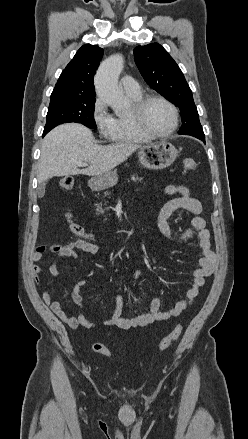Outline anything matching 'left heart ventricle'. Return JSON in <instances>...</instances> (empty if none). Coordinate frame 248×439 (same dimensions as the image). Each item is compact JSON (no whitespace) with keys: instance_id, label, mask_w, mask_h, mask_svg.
I'll return each mask as SVG.
<instances>
[{"instance_id":"b2bd125f","label":"left heart ventricle","mask_w":248,"mask_h":439,"mask_svg":"<svg viewBox=\"0 0 248 439\" xmlns=\"http://www.w3.org/2000/svg\"><path fill=\"white\" fill-rule=\"evenodd\" d=\"M145 118L148 127L156 133H166L173 125V115L170 108L158 100L149 103Z\"/></svg>"}]
</instances>
